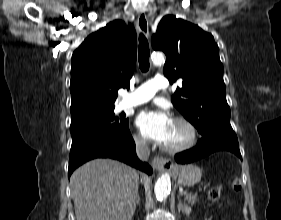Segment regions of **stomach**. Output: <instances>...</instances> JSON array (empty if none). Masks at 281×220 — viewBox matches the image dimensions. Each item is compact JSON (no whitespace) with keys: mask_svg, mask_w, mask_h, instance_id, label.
Here are the masks:
<instances>
[{"mask_svg":"<svg viewBox=\"0 0 281 220\" xmlns=\"http://www.w3.org/2000/svg\"><path fill=\"white\" fill-rule=\"evenodd\" d=\"M174 174L178 177V183L182 186H193L202 177L201 169L193 164L175 166Z\"/></svg>","mask_w":281,"mask_h":220,"instance_id":"1","label":"stomach"}]
</instances>
